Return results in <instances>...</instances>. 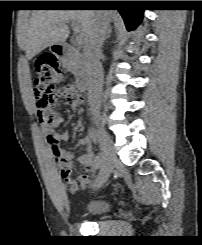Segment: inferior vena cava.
Here are the masks:
<instances>
[{"instance_id":"obj_1","label":"inferior vena cava","mask_w":202,"mask_h":245,"mask_svg":"<svg viewBox=\"0 0 202 245\" xmlns=\"http://www.w3.org/2000/svg\"><path fill=\"white\" fill-rule=\"evenodd\" d=\"M109 30V19L101 12L97 15L94 28L89 35L85 48L84 58L87 67V74L90 81L88 102L94 114L99 113L100 96L103 87L104 72L101 63L102 45Z\"/></svg>"}]
</instances>
